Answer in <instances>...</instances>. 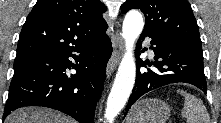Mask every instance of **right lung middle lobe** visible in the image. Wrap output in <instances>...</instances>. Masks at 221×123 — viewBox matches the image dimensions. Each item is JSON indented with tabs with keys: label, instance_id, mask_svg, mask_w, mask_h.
<instances>
[{
	"label": "right lung middle lobe",
	"instance_id": "right-lung-middle-lobe-1",
	"mask_svg": "<svg viewBox=\"0 0 221 123\" xmlns=\"http://www.w3.org/2000/svg\"><path fill=\"white\" fill-rule=\"evenodd\" d=\"M17 59H21V58H15V60H17Z\"/></svg>",
	"mask_w": 221,
	"mask_h": 123
}]
</instances>
